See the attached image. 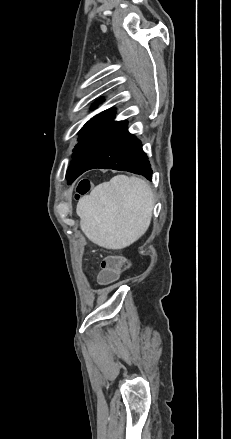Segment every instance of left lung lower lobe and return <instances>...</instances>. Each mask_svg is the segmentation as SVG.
<instances>
[{
  "label": "left lung lower lobe",
  "instance_id": "left-lung-lower-lobe-1",
  "mask_svg": "<svg viewBox=\"0 0 231 439\" xmlns=\"http://www.w3.org/2000/svg\"><path fill=\"white\" fill-rule=\"evenodd\" d=\"M95 168L128 171L148 180L152 178V170L141 142L128 132L127 122H122L108 137L84 172Z\"/></svg>",
  "mask_w": 231,
  "mask_h": 439
}]
</instances>
